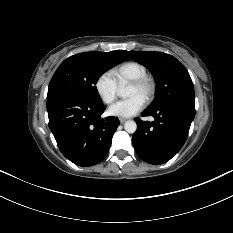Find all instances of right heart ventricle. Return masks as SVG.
Here are the masks:
<instances>
[{"label":"right heart ventricle","instance_id":"obj_1","mask_svg":"<svg viewBox=\"0 0 233 233\" xmlns=\"http://www.w3.org/2000/svg\"><path fill=\"white\" fill-rule=\"evenodd\" d=\"M111 75L116 84H122L147 76V68L142 63L128 61L115 67L111 71Z\"/></svg>","mask_w":233,"mask_h":233}]
</instances>
